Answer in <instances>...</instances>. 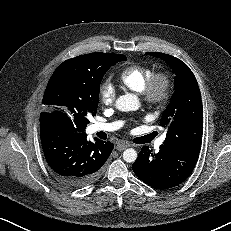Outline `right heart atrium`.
<instances>
[{
	"instance_id": "obj_1",
	"label": "right heart atrium",
	"mask_w": 231,
	"mask_h": 231,
	"mask_svg": "<svg viewBox=\"0 0 231 231\" xmlns=\"http://www.w3.org/2000/svg\"><path fill=\"white\" fill-rule=\"evenodd\" d=\"M98 97L102 104L111 105L115 99V89L113 85L105 81L99 86Z\"/></svg>"
}]
</instances>
